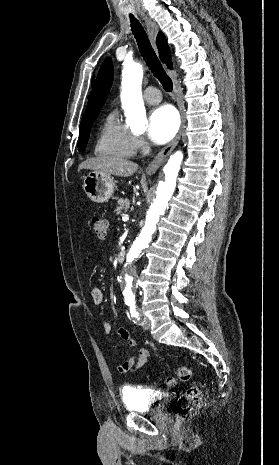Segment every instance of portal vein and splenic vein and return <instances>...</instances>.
I'll use <instances>...</instances> for the list:
<instances>
[{
  "mask_svg": "<svg viewBox=\"0 0 279 465\" xmlns=\"http://www.w3.org/2000/svg\"><path fill=\"white\" fill-rule=\"evenodd\" d=\"M128 220H129V216H128V215H123V216H122V221L127 222Z\"/></svg>",
  "mask_w": 279,
  "mask_h": 465,
  "instance_id": "portal-vein-and-splenic-vein-1",
  "label": "portal vein and splenic vein"
}]
</instances>
